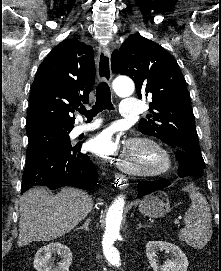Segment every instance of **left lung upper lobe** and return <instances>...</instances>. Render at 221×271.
<instances>
[{
	"label": "left lung upper lobe",
	"instance_id": "5c2ea615",
	"mask_svg": "<svg viewBox=\"0 0 221 271\" xmlns=\"http://www.w3.org/2000/svg\"><path fill=\"white\" fill-rule=\"evenodd\" d=\"M111 66L114 73L134 80L139 99L147 95L152 98L151 115L140 120L139 130L185 151L205 166L190 94L175 58L159 44L132 35L113 52Z\"/></svg>",
	"mask_w": 221,
	"mask_h": 271
}]
</instances>
